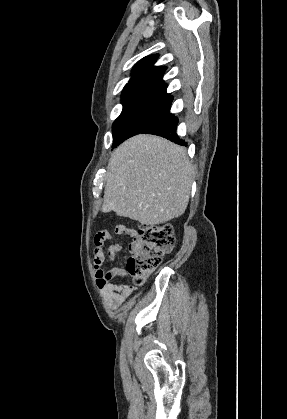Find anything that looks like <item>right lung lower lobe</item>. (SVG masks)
<instances>
[{
	"label": "right lung lower lobe",
	"mask_w": 287,
	"mask_h": 419,
	"mask_svg": "<svg viewBox=\"0 0 287 419\" xmlns=\"http://www.w3.org/2000/svg\"><path fill=\"white\" fill-rule=\"evenodd\" d=\"M177 125L178 118L168 112L164 116L152 122L140 133L162 136L164 138L170 139L171 141H174L177 144L184 145L185 142L181 140L176 133Z\"/></svg>",
	"instance_id": "right-lung-lower-lobe-1"
}]
</instances>
